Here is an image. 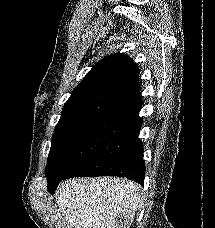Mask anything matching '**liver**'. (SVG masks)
<instances>
[{"label": "liver", "mask_w": 215, "mask_h": 228, "mask_svg": "<svg viewBox=\"0 0 215 228\" xmlns=\"http://www.w3.org/2000/svg\"><path fill=\"white\" fill-rule=\"evenodd\" d=\"M141 186L127 178H70L54 194L71 228H131Z\"/></svg>", "instance_id": "1"}]
</instances>
